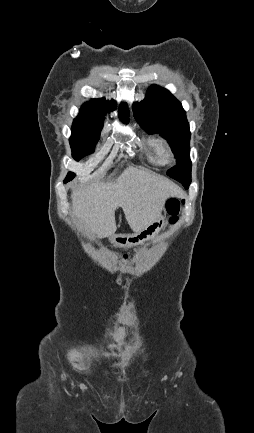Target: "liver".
<instances>
[{"mask_svg":"<svg viewBox=\"0 0 254 433\" xmlns=\"http://www.w3.org/2000/svg\"><path fill=\"white\" fill-rule=\"evenodd\" d=\"M181 194L167 178L146 169L127 167L116 179L102 180L72 193L73 214L91 239L113 236L117 230L115 210L121 207L134 232L156 220L169 197Z\"/></svg>","mask_w":254,"mask_h":433,"instance_id":"liver-1","label":"liver"}]
</instances>
